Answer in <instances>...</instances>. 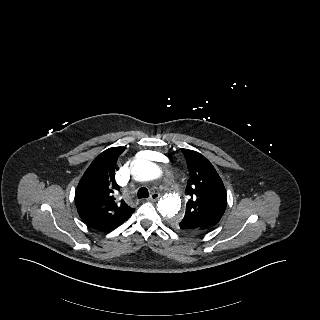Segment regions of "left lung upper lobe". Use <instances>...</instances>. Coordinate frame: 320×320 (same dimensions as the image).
I'll return each instance as SVG.
<instances>
[{
  "mask_svg": "<svg viewBox=\"0 0 320 320\" xmlns=\"http://www.w3.org/2000/svg\"><path fill=\"white\" fill-rule=\"evenodd\" d=\"M187 161L190 178L187 181L186 194L189 200L186 212L179 222L193 224L195 229L206 231L221 219L227 205L226 190L213 165L200 153L182 149Z\"/></svg>",
  "mask_w": 320,
  "mask_h": 320,
  "instance_id": "1",
  "label": "left lung upper lobe"
}]
</instances>
